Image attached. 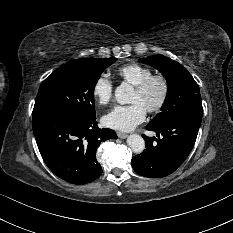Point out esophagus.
<instances>
[{"mask_svg":"<svg viewBox=\"0 0 233 233\" xmlns=\"http://www.w3.org/2000/svg\"><path fill=\"white\" fill-rule=\"evenodd\" d=\"M117 136L120 138V139H125L128 137V135L126 133H122V132H117Z\"/></svg>","mask_w":233,"mask_h":233,"instance_id":"1","label":"esophagus"}]
</instances>
